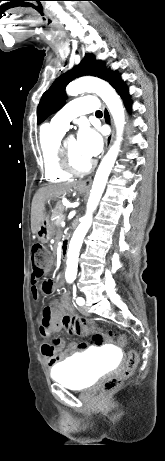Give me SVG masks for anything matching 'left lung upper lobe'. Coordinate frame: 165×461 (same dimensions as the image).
<instances>
[{
  "instance_id": "1",
  "label": "left lung upper lobe",
  "mask_w": 165,
  "mask_h": 461,
  "mask_svg": "<svg viewBox=\"0 0 165 461\" xmlns=\"http://www.w3.org/2000/svg\"><path fill=\"white\" fill-rule=\"evenodd\" d=\"M84 75L96 76L111 83L118 74L110 69H105V64L102 61H96L92 54L87 53L78 66L59 76L43 94L37 108L39 123L62 107L66 98V85L74 78Z\"/></svg>"
}]
</instances>
